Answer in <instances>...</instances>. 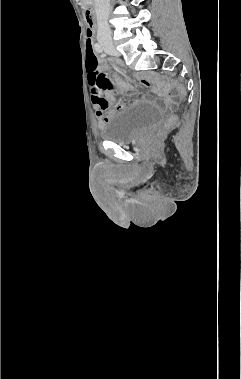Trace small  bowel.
Instances as JSON below:
<instances>
[{"label": "small bowel", "mask_w": 241, "mask_h": 379, "mask_svg": "<svg viewBox=\"0 0 241 379\" xmlns=\"http://www.w3.org/2000/svg\"><path fill=\"white\" fill-rule=\"evenodd\" d=\"M88 32L90 33V38L92 41V29L88 30ZM100 73L103 76H105L106 78H108L104 73H102V72H100ZM114 82L122 89L129 90L131 88V86L129 84L122 81L119 77H115ZM89 83H91V82H89ZM140 83H141V85H143L145 87L150 85V82L145 78H140ZM110 91H111V88L104 90V92H106V96L102 95V97H99L97 95V93L95 92V90L92 89V101L94 104L96 115H97L100 123L106 122L109 118V115H110L109 104L114 100ZM165 93H168L170 95L169 100H168V101H170L173 97V94L170 91H166ZM123 108H124L123 105H120L117 107V109H123Z\"/></svg>", "instance_id": "small-bowel-1"}]
</instances>
